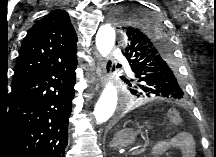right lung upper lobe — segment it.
I'll list each match as a JSON object with an SVG mask.
<instances>
[{
	"mask_svg": "<svg viewBox=\"0 0 216 157\" xmlns=\"http://www.w3.org/2000/svg\"><path fill=\"white\" fill-rule=\"evenodd\" d=\"M76 41L67 12L57 9L40 19L23 41L12 87L54 64L76 59Z\"/></svg>",
	"mask_w": 216,
	"mask_h": 157,
	"instance_id": "obj_1",
	"label": "right lung upper lobe"
}]
</instances>
